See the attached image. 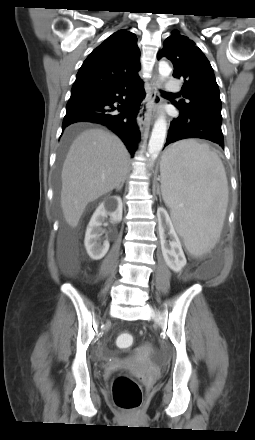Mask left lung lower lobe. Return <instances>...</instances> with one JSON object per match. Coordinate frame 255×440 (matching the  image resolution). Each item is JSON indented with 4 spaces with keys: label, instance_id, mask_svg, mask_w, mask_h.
<instances>
[{
    "label": "left lung lower lobe",
    "instance_id": "0a47b994",
    "mask_svg": "<svg viewBox=\"0 0 255 440\" xmlns=\"http://www.w3.org/2000/svg\"><path fill=\"white\" fill-rule=\"evenodd\" d=\"M221 124L222 118L217 115L180 110L179 117L170 124L165 146L186 138H201L224 148Z\"/></svg>",
    "mask_w": 255,
    "mask_h": 440
}]
</instances>
